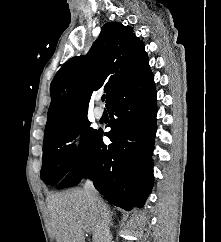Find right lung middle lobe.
<instances>
[{"mask_svg": "<svg viewBox=\"0 0 221 242\" xmlns=\"http://www.w3.org/2000/svg\"><path fill=\"white\" fill-rule=\"evenodd\" d=\"M81 117L43 141L41 179L49 185L58 183L82 158L97 130ZM81 133L79 150L71 142Z\"/></svg>", "mask_w": 221, "mask_h": 242, "instance_id": "obj_1", "label": "right lung middle lobe"}]
</instances>
